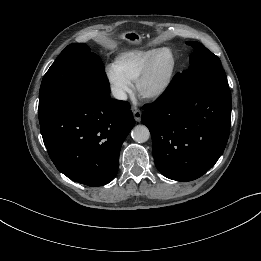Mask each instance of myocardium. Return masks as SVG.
<instances>
[{"label":"myocardium","instance_id":"1","mask_svg":"<svg viewBox=\"0 0 261 261\" xmlns=\"http://www.w3.org/2000/svg\"><path fill=\"white\" fill-rule=\"evenodd\" d=\"M163 52H168L171 56L172 64L170 70L168 71L167 75L161 82L157 84H151L150 78H151L154 62L156 58ZM176 69H177V58L175 53L170 48L167 47L157 49L136 80L137 93L142 98L148 100H156L161 98L170 88L176 73Z\"/></svg>","mask_w":261,"mask_h":261}]
</instances>
